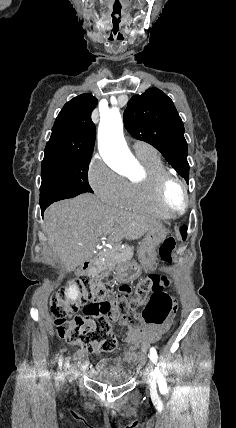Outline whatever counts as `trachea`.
<instances>
[{
	"instance_id": "3493384b",
	"label": "trachea",
	"mask_w": 236,
	"mask_h": 428,
	"mask_svg": "<svg viewBox=\"0 0 236 428\" xmlns=\"http://www.w3.org/2000/svg\"><path fill=\"white\" fill-rule=\"evenodd\" d=\"M112 22H110L109 24V29L110 31L113 32L114 35H119L120 34V25H121V19L122 16L120 13H113L111 16Z\"/></svg>"
}]
</instances>
